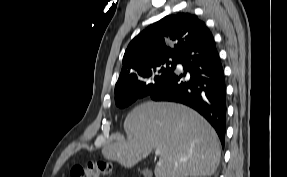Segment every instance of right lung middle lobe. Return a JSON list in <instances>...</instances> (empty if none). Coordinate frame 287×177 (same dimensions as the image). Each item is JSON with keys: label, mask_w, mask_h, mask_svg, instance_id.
<instances>
[{"label": "right lung middle lobe", "mask_w": 287, "mask_h": 177, "mask_svg": "<svg viewBox=\"0 0 287 177\" xmlns=\"http://www.w3.org/2000/svg\"><path fill=\"white\" fill-rule=\"evenodd\" d=\"M177 63V59L159 61L144 73L136 85L115 87L116 105L124 108L141 98L154 84L172 73Z\"/></svg>", "instance_id": "right-lung-middle-lobe-1"}]
</instances>
